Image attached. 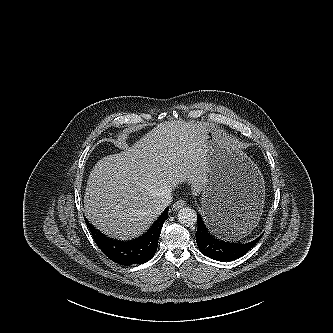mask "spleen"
I'll list each match as a JSON object with an SVG mask.
<instances>
[{
  "label": "spleen",
  "instance_id": "spleen-1",
  "mask_svg": "<svg viewBox=\"0 0 333 333\" xmlns=\"http://www.w3.org/2000/svg\"><path fill=\"white\" fill-rule=\"evenodd\" d=\"M257 219L255 211L245 214L242 218L232 221L226 225L223 229L221 236L227 240L240 239L247 235L253 227H255L259 221Z\"/></svg>",
  "mask_w": 333,
  "mask_h": 333
}]
</instances>
